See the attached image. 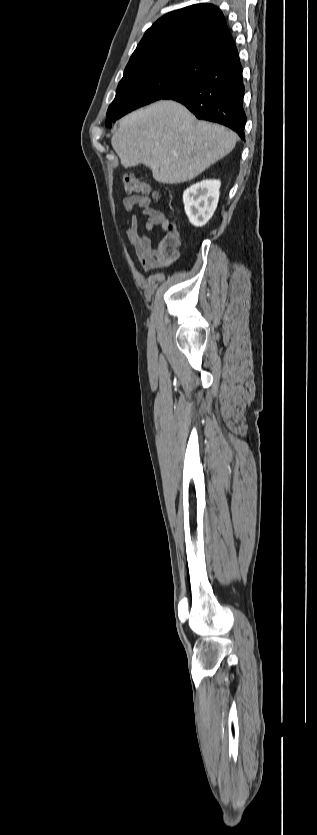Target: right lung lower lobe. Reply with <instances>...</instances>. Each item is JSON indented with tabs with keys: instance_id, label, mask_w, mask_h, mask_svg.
Returning <instances> with one entry per match:
<instances>
[{
	"instance_id": "1",
	"label": "right lung lower lobe",
	"mask_w": 317,
	"mask_h": 835,
	"mask_svg": "<svg viewBox=\"0 0 317 835\" xmlns=\"http://www.w3.org/2000/svg\"><path fill=\"white\" fill-rule=\"evenodd\" d=\"M193 57L204 70L205 78L184 86L163 99L182 103L198 119L225 125L244 140V85L235 43L231 41Z\"/></svg>"
}]
</instances>
